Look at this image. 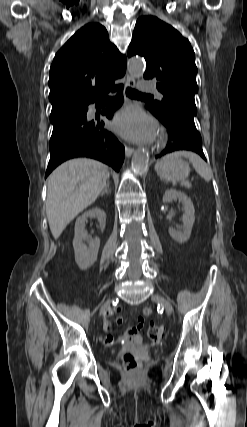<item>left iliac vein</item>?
<instances>
[{
	"mask_svg": "<svg viewBox=\"0 0 247 427\" xmlns=\"http://www.w3.org/2000/svg\"><path fill=\"white\" fill-rule=\"evenodd\" d=\"M151 299L154 302H157V303L163 305L166 313L168 315H172V313H173L172 305L170 304V302L165 297H163L160 294H154V295H152Z\"/></svg>",
	"mask_w": 247,
	"mask_h": 427,
	"instance_id": "obj_1",
	"label": "left iliac vein"
}]
</instances>
